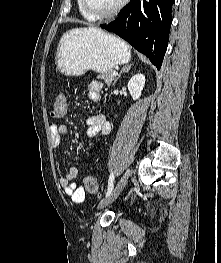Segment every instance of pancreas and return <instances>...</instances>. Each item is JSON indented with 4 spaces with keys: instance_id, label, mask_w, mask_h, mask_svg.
I'll return each instance as SVG.
<instances>
[{
    "instance_id": "1",
    "label": "pancreas",
    "mask_w": 221,
    "mask_h": 263,
    "mask_svg": "<svg viewBox=\"0 0 221 263\" xmlns=\"http://www.w3.org/2000/svg\"><path fill=\"white\" fill-rule=\"evenodd\" d=\"M97 79L103 80L108 86H110L115 80V76L113 75L112 71H109L107 73L98 75Z\"/></svg>"
}]
</instances>
